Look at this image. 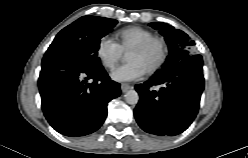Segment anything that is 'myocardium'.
<instances>
[{"instance_id": "myocardium-1", "label": "myocardium", "mask_w": 248, "mask_h": 158, "mask_svg": "<svg viewBox=\"0 0 248 158\" xmlns=\"http://www.w3.org/2000/svg\"><path fill=\"white\" fill-rule=\"evenodd\" d=\"M154 43H156L160 46V57H159L158 61L156 62V64L146 71L150 75L158 72L163 67V65L165 64V62L167 60L168 53H169V47H168V44L165 41V39L162 37L151 36V37L146 38L143 41L139 42L138 44L133 46L128 51V53L132 52V51H143Z\"/></svg>"}]
</instances>
